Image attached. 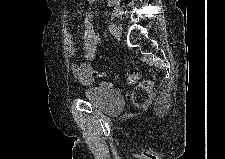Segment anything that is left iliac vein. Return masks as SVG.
<instances>
[{
	"instance_id": "1",
	"label": "left iliac vein",
	"mask_w": 225,
	"mask_h": 159,
	"mask_svg": "<svg viewBox=\"0 0 225 159\" xmlns=\"http://www.w3.org/2000/svg\"><path fill=\"white\" fill-rule=\"evenodd\" d=\"M115 38H120L122 34V29L120 26H115L114 30L112 31Z\"/></svg>"
}]
</instances>
